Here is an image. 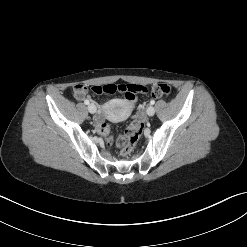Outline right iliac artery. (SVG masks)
I'll return each instance as SVG.
<instances>
[{
  "label": "right iliac artery",
  "instance_id": "right-iliac-artery-1",
  "mask_svg": "<svg viewBox=\"0 0 247 247\" xmlns=\"http://www.w3.org/2000/svg\"><path fill=\"white\" fill-rule=\"evenodd\" d=\"M84 103H85L86 105H88V104H89V100H85Z\"/></svg>",
  "mask_w": 247,
  "mask_h": 247
}]
</instances>
